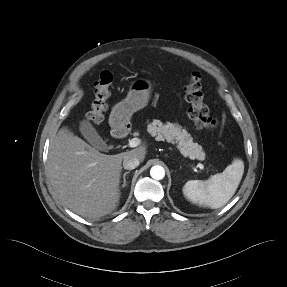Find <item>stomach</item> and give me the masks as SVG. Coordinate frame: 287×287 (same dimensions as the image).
I'll use <instances>...</instances> for the list:
<instances>
[{"label":"stomach","mask_w":287,"mask_h":287,"mask_svg":"<svg viewBox=\"0 0 287 287\" xmlns=\"http://www.w3.org/2000/svg\"><path fill=\"white\" fill-rule=\"evenodd\" d=\"M153 84L147 79H137L130 85L126 98L116 104L109 117L112 135L119 136L120 132L130 124L132 115L147 106Z\"/></svg>","instance_id":"obj_1"}]
</instances>
